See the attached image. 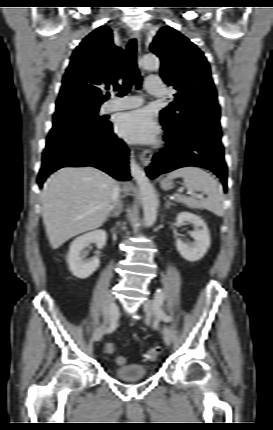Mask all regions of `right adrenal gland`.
<instances>
[{
    "label": "right adrenal gland",
    "mask_w": 273,
    "mask_h": 430,
    "mask_svg": "<svg viewBox=\"0 0 273 430\" xmlns=\"http://www.w3.org/2000/svg\"><path fill=\"white\" fill-rule=\"evenodd\" d=\"M121 208H122L121 204H118L115 208H112L111 212L108 214L107 218H109V217H115V218L119 217L120 212H121Z\"/></svg>",
    "instance_id": "1"
}]
</instances>
